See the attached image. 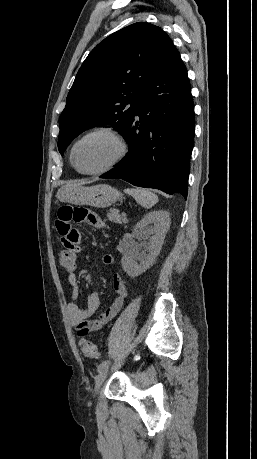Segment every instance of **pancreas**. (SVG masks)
<instances>
[{
    "label": "pancreas",
    "mask_w": 257,
    "mask_h": 459,
    "mask_svg": "<svg viewBox=\"0 0 257 459\" xmlns=\"http://www.w3.org/2000/svg\"><path fill=\"white\" fill-rule=\"evenodd\" d=\"M107 217L110 221L115 223H122L124 221L123 216L117 209H110L107 213Z\"/></svg>",
    "instance_id": "cf45deb5"
}]
</instances>
